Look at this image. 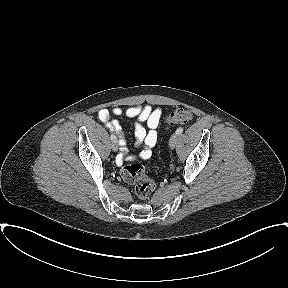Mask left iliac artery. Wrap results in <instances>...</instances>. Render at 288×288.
<instances>
[{"mask_svg": "<svg viewBox=\"0 0 288 288\" xmlns=\"http://www.w3.org/2000/svg\"><path fill=\"white\" fill-rule=\"evenodd\" d=\"M182 132H183V128L182 127L177 128V130H176V134L177 135L181 134Z\"/></svg>", "mask_w": 288, "mask_h": 288, "instance_id": "left-iliac-artery-1", "label": "left iliac artery"}]
</instances>
